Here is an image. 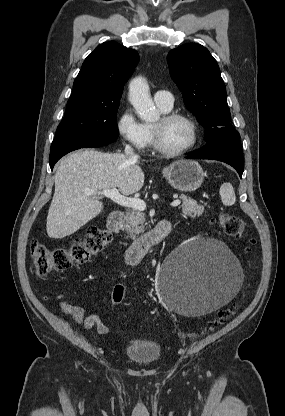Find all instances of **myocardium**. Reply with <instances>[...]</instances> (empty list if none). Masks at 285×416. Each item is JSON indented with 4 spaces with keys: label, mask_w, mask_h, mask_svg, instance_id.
I'll list each match as a JSON object with an SVG mask.
<instances>
[{
    "label": "myocardium",
    "mask_w": 285,
    "mask_h": 416,
    "mask_svg": "<svg viewBox=\"0 0 285 416\" xmlns=\"http://www.w3.org/2000/svg\"><path fill=\"white\" fill-rule=\"evenodd\" d=\"M175 119H181L187 122L191 128V133H192L190 144L181 150L174 151V150H169L165 148L160 142L158 130L155 127L151 126L152 142H153L154 149L157 152H159L161 155H164L167 157H179V156L188 154L196 147L198 143V139H199L198 126L196 122L189 115L179 113V112H172V111H165L161 115L162 122H170Z\"/></svg>",
    "instance_id": "1"
}]
</instances>
